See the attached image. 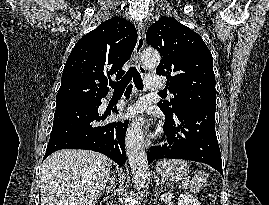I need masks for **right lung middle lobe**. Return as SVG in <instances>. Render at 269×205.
I'll return each instance as SVG.
<instances>
[{"instance_id":"dd1d6c3e","label":"right lung middle lobe","mask_w":269,"mask_h":205,"mask_svg":"<svg viewBox=\"0 0 269 205\" xmlns=\"http://www.w3.org/2000/svg\"><path fill=\"white\" fill-rule=\"evenodd\" d=\"M97 105V103H91V104H84V105H78V106H95ZM76 107V106H73Z\"/></svg>"}]
</instances>
